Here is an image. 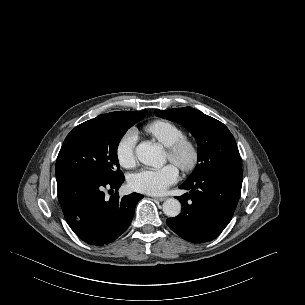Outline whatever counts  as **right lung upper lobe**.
I'll list each match as a JSON object with an SVG mask.
<instances>
[{
	"mask_svg": "<svg viewBox=\"0 0 305 305\" xmlns=\"http://www.w3.org/2000/svg\"><path fill=\"white\" fill-rule=\"evenodd\" d=\"M108 114L117 115V116H121V117H130V116L135 114V111H133V112H130V111H120V112H112V113H108Z\"/></svg>",
	"mask_w": 305,
	"mask_h": 305,
	"instance_id": "right-lung-upper-lobe-1",
	"label": "right lung upper lobe"
}]
</instances>
